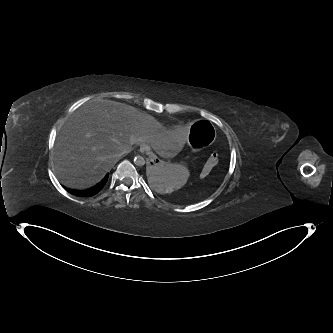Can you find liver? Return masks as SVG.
<instances>
[{
  "instance_id": "liver-1",
  "label": "liver",
  "mask_w": 333,
  "mask_h": 333,
  "mask_svg": "<svg viewBox=\"0 0 333 333\" xmlns=\"http://www.w3.org/2000/svg\"><path fill=\"white\" fill-rule=\"evenodd\" d=\"M147 143L164 158H174L189 144L184 130L164 131L151 115L125 103L93 100L65 122L53 152V167L61 183L86 189L99 183L123 152Z\"/></svg>"
}]
</instances>
